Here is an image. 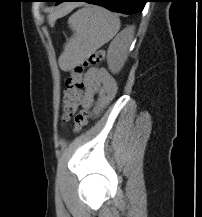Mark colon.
Here are the masks:
<instances>
[{"instance_id": "obj_1", "label": "colon", "mask_w": 202, "mask_h": 217, "mask_svg": "<svg viewBox=\"0 0 202 217\" xmlns=\"http://www.w3.org/2000/svg\"><path fill=\"white\" fill-rule=\"evenodd\" d=\"M105 58L102 50L88 56L82 63L76 65L65 83L62 106V121L67 122L74 116V131L80 132L87 124L90 113L87 110L77 112L84 87L82 74L88 65L101 63Z\"/></svg>"}]
</instances>
